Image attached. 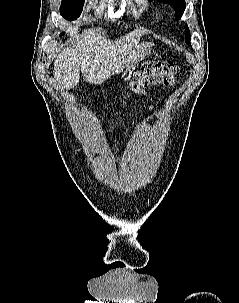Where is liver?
<instances>
[{
    "mask_svg": "<svg viewBox=\"0 0 239 303\" xmlns=\"http://www.w3.org/2000/svg\"><path fill=\"white\" fill-rule=\"evenodd\" d=\"M144 31L134 30L115 41L107 40L100 31L80 38L72 46L64 48L54 60V75L62 90H70L80 79L99 83L124 67L129 53L137 48Z\"/></svg>",
    "mask_w": 239,
    "mask_h": 303,
    "instance_id": "liver-1",
    "label": "liver"
}]
</instances>
